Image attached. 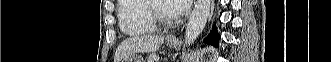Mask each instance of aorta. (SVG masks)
I'll list each match as a JSON object with an SVG mask.
<instances>
[{"label": "aorta", "mask_w": 331, "mask_h": 62, "mask_svg": "<svg viewBox=\"0 0 331 62\" xmlns=\"http://www.w3.org/2000/svg\"><path fill=\"white\" fill-rule=\"evenodd\" d=\"M211 7V0H197L194 9L190 15L186 32L185 44L190 46L198 38L204 29Z\"/></svg>", "instance_id": "aorta-1"}]
</instances>
